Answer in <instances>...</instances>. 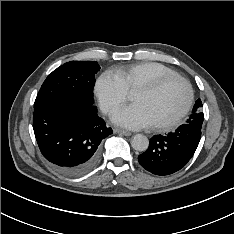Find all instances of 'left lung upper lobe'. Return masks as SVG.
<instances>
[{
    "instance_id": "5c2ea615",
    "label": "left lung upper lobe",
    "mask_w": 234,
    "mask_h": 234,
    "mask_svg": "<svg viewBox=\"0 0 234 234\" xmlns=\"http://www.w3.org/2000/svg\"><path fill=\"white\" fill-rule=\"evenodd\" d=\"M201 107H202V102L200 99H198L193 107L191 115L187 119L186 124H191L202 128L204 115L203 112L201 111Z\"/></svg>"
}]
</instances>
